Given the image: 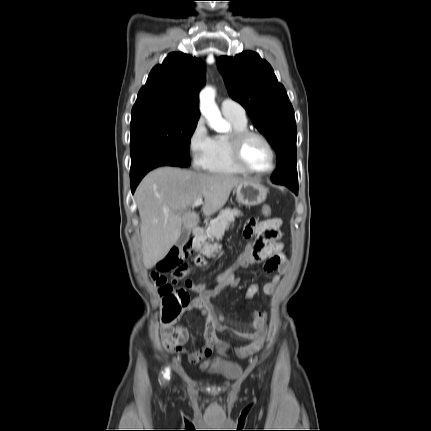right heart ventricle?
I'll use <instances>...</instances> for the list:
<instances>
[{"label":"right heart ventricle","mask_w":431,"mask_h":431,"mask_svg":"<svg viewBox=\"0 0 431 431\" xmlns=\"http://www.w3.org/2000/svg\"><path fill=\"white\" fill-rule=\"evenodd\" d=\"M232 126L229 135L219 136L214 139L213 155L208 171L213 174L236 175L244 173L232 161L230 154L229 137L232 133L247 129V120L241 121L233 117H227Z\"/></svg>","instance_id":"obj_1"}]
</instances>
